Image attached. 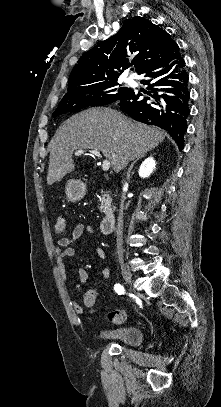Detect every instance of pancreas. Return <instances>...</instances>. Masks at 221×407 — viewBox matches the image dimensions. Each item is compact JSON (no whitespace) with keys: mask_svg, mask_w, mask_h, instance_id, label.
Here are the masks:
<instances>
[{"mask_svg":"<svg viewBox=\"0 0 221 407\" xmlns=\"http://www.w3.org/2000/svg\"><path fill=\"white\" fill-rule=\"evenodd\" d=\"M111 202V197L109 194H103L102 197L100 198V211L103 213H107L111 210L110 206Z\"/></svg>","mask_w":221,"mask_h":407,"instance_id":"1","label":"pancreas"}]
</instances>
